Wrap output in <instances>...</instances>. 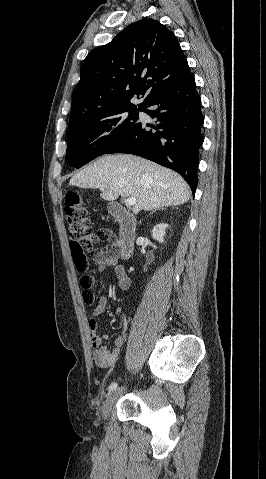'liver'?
I'll return each instance as SVG.
<instances>
[{"instance_id":"1","label":"liver","mask_w":266,"mask_h":479,"mask_svg":"<svg viewBox=\"0 0 266 479\" xmlns=\"http://www.w3.org/2000/svg\"><path fill=\"white\" fill-rule=\"evenodd\" d=\"M69 185L103 188L100 196L114 201L119 196L135 197V213L186 203L191 191L176 172L128 154L105 155L75 174Z\"/></svg>"}]
</instances>
